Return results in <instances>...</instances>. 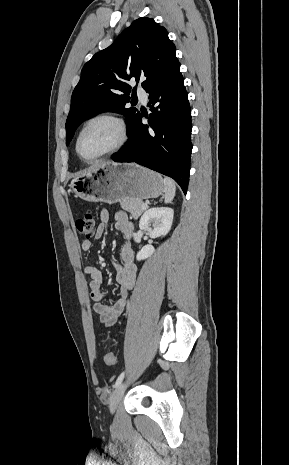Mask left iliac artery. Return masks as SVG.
<instances>
[{
  "label": "left iliac artery",
  "mask_w": 289,
  "mask_h": 465,
  "mask_svg": "<svg viewBox=\"0 0 289 465\" xmlns=\"http://www.w3.org/2000/svg\"><path fill=\"white\" fill-rule=\"evenodd\" d=\"M124 375H125L124 372H122V373L119 375V377L117 378L115 384L113 385V388H117V387L121 384V382H122V380H123V378H124Z\"/></svg>",
  "instance_id": "left-iliac-artery-1"
}]
</instances>
